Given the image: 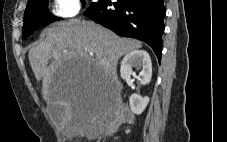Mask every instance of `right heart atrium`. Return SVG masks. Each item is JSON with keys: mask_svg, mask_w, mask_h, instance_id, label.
<instances>
[{"mask_svg": "<svg viewBox=\"0 0 227 142\" xmlns=\"http://www.w3.org/2000/svg\"><path fill=\"white\" fill-rule=\"evenodd\" d=\"M81 9V0H53L52 15L57 19L73 18Z\"/></svg>", "mask_w": 227, "mask_h": 142, "instance_id": "1", "label": "right heart atrium"}]
</instances>
